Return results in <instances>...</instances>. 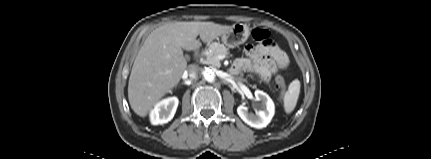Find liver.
<instances>
[{"label": "liver", "mask_w": 431, "mask_h": 159, "mask_svg": "<svg viewBox=\"0 0 431 159\" xmlns=\"http://www.w3.org/2000/svg\"><path fill=\"white\" fill-rule=\"evenodd\" d=\"M231 26L214 22H171L153 30L134 61L128 83L132 110L145 117L158 101L174 88L187 68L182 49L187 51L210 43Z\"/></svg>", "instance_id": "1"}]
</instances>
